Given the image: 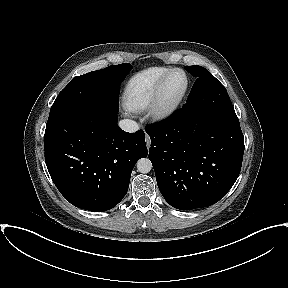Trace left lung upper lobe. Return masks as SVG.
<instances>
[{"label":"left lung upper lobe","mask_w":288,"mask_h":288,"mask_svg":"<svg viewBox=\"0 0 288 288\" xmlns=\"http://www.w3.org/2000/svg\"><path fill=\"white\" fill-rule=\"evenodd\" d=\"M185 69L197 80L183 108L236 116L226 88L207 69L201 66H185Z\"/></svg>","instance_id":"1"}]
</instances>
